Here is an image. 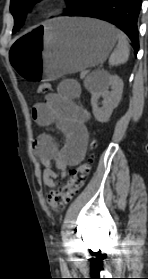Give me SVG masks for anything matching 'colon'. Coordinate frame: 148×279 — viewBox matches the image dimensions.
Returning a JSON list of instances; mask_svg holds the SVG:
<instances>
[{
    "mask_svg": "<svg viewBox=\"0 0 148 279\" xmlns=\"http://www.w3.org/2000/svg\"><path fill=\"white\" fill-rule=\"evenodd\" d=\"M51 90L49 83H41L37 87L38 93H47ZM92 148L95 143H92ZM93 163V156L89 154L85 160L78 166L68 171V179L66 182L53 188L48 194V202L53 210H61L83 187L90 172Z\"/></svg>",
    "mask_w": 148,
    "mask_h": 279,
    "instance_id": "obj_1",
    "label": "colon"
}]
</instances>
